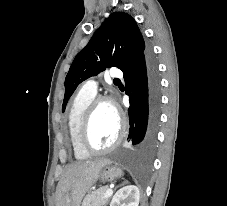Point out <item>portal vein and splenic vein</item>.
<instances>
[{
  "instance_id": "18ae733b",
  "label": "portal vein and splenic vein",
  "mask_w": 227,
  "mask_h": 206,
  "mask_svg": "<svg viewBox=\"0 0 227 206\" xmlns=\"http://www.w3.org/2000/svg\"><path fill=\"white\" fill-rule=\"evenodd\" d=\"M112 193H113L112 189H108L104 196L110 197L112 195Z\"/></svg>"
}]
</instances>
